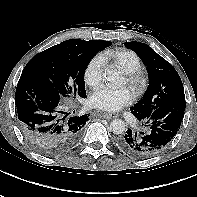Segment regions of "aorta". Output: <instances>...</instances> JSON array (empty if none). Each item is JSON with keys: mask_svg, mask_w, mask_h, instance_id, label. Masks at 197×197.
<instances>
[{"mask_svg": "<svg viewBox=\"0 0 197 197\" xmlns=\"http://www.w3.org/2000/svg\"><path fill=\"white\" fill-rule=\"evenodd\" d=\"M104 78L107 82L112 84H121L123 78L119 71L115 69H108L104 73ZM110 131L113 134L120 135L125 131V123L121 119H115L110 123Z\"/></svg>", "mask_w": 197, "mask_h": 197, "instance_id": "obj_1", "label": "aorta"}]
</instances>
